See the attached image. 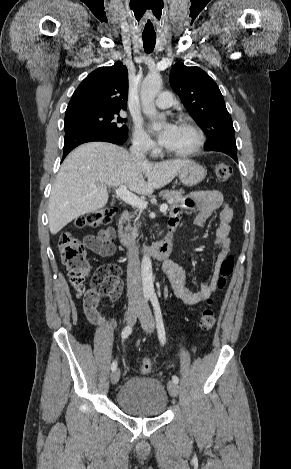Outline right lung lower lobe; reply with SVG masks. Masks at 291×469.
Instances as JSON below:
<instances>
[{"label":"right lung lower lobe","mask_w":291,"mask_h":469,"mask_svg":"<svg viewBox=\"0 0 291 469\" xmlns=\"http://www.w3.org/2000/svg\"><path fill=\"white\" fill-rule=\"evenodd\" d=\"M127 140V132H102L91 130H78L65 133L64 152L62 160L67 154L80 144L92 141H105L114 144H123Z\"/></svg>","instance_id":"1"}]
</instances>
